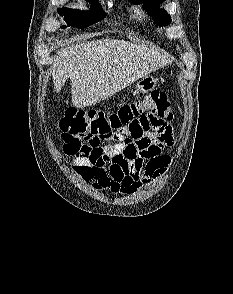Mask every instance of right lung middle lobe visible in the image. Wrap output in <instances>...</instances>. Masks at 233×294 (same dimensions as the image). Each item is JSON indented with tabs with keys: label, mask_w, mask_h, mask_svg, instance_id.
<instances>
[{
	"label": "right lung middle lobe",
	"mask_w": 233,
	"mask_h": 294,
	"mask_svg": "<svg viewBox=\"0 0 233 294\" xmlns=\"http://www.w3.org/2000/svg\"><path fill=\"white\" fill-rule=\"evenodd\" d=\"M90 2L98 6V9L92 8V11L83 12V13H81L78 10H73L66 7H63L62 9L61 8L58 9V13L61 16H64L65 20L67 21V26L63 25L61 26V28H66L69 26L85 28L106 17V13L102 10L100 5L98 4V0H90Z\"/></svg>",
	"instance_id": "right-lung-middle-lobe-1"
}]
</instances>
